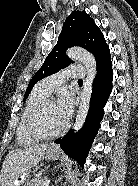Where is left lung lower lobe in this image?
<instances>
[{"label":"left lung lower lobe","instance_id":"1","mask_svg":"<svg viewBox=\"0 0 138 186\" xmlns=\"http://www.w3.org/2000/svg\"><path fill=\"white\" fill-rule=\"evenodd\" d=\"M112 62H109L98 69L93 82V90L90 99V108L84 126L78 133L71 131L63 138L57 139L55 143L82 167L86 156L91 148L100 127V121L104 114V105L112 90Z\"/></svg>","mask_w":138,"mask_h":186}]
</instances>
